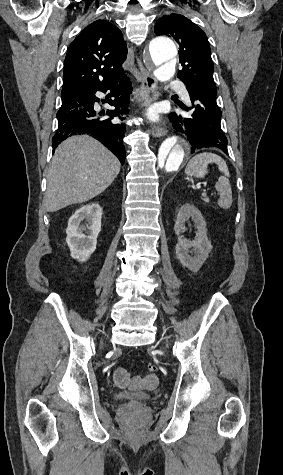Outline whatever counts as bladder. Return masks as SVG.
<instances>
[{
  "label": "bladder",
  "instance_id": "bladder-1",
  "mask_svg": "<svg viewBox=\"0 0 283 475\" xmlns=\"http://www.w3.org/2000/svg\"><path fill=\"white\" fill-rule=\"evenodd\" d=\"M115 399L119 402H124L128 406H134L137 408L139 406L145 405L148 401L152 399L150 396H136L134 393H114L112 394Z\"/></svg>",
  "mask_w": 283,
  "mask_h": 475
}]
</instances>
